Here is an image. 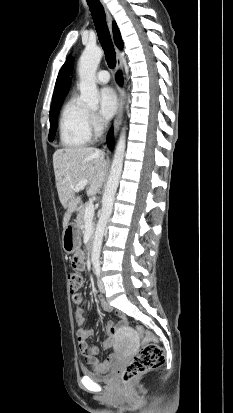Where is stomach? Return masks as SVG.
Masks as SVG:
<instances>
[{"instance_id": "0dacf381", "label": "stomach", "mask_w": 233, "mask_h": 413, "mask_svg": "<svg viewBox=\"0 0 233 413\" xmlns=\"http://www.w3.org/2000/svg\"><path fill=\"white\" fill-rule=\"evenodd\" d=\"M80 228L77 224H69L63 231L62 246L66 253L72 254L79 248Z\"/></svg>"}]
</instances>
